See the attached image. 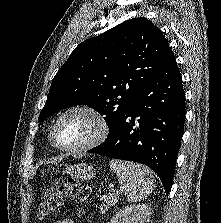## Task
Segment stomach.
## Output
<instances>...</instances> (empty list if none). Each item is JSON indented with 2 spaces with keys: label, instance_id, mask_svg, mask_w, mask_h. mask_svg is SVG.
Wrapping results in <instances>:
<instances>
[{
  "label": "stomach",
  "instance_id": "1",
  "mask_svg": "<svg viewBox=\"0 0 221 223\" xmlns=\"http://www.w3.org/2000/svg\"><path fill=\"white\" fill-rule=\"evenodd\" d=\"M64 172L70 176L81 179V180H90L95 175V170L92 166L87 164H75L74 166H67L64 169Z\"/></svg>",
  "mask_w": 221,
  "mask_h": 223
}]
</instances>
